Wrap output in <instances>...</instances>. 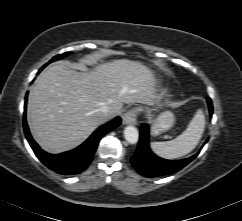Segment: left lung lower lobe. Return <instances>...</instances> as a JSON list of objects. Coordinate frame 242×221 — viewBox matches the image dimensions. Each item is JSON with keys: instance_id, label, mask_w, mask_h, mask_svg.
<instances>
[{"instance_id": "1", "label": "left lung lower lobe", "mask_w": 242, "mask_h": 221, "mask_svg": "<svg viewBox=\"0 0 242 221\" xmlns=\"http://www.w3.org/2000/svg\"><path fill=\"white\" fill-rule=\"evenodd\" d=\"M209 113L212 116L213 106L210 98L207 99ZM183 160H165L154 155L149 148V126L143 124L140 130V139L135 154L131 158V163L140 174L146 177H157L175 173L190 163L196 156Z\"/></svg>"}]
</instances>
